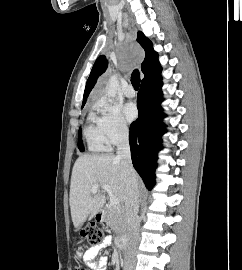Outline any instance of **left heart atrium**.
Listing matches in <instances>:
<instances>
[{"label":"left heart atrium","mask_w":242,"mask_h":270,"mask_svg":"<svg viewBox=\"0 0 242 270\" xmlns=\"http://www.w3.org/2000/svg\"><path fill=\"white\" fill-rule=\"evenodd\" d=\"M124 114H125L128 121L135 120L137 118V115H138V110H137L135 103L128 102L124 106Z\"/></svg>","instance_id":"39dd6f15"}]
</instances>
